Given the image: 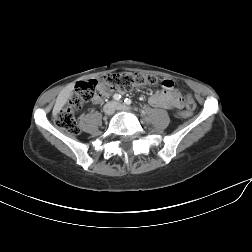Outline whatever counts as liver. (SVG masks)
<instances>
[{
	"label": "liver",
	"instance_id": "obj_1",
	"mask_svg": "<svg viewBox=\"0 0 252 252\" xmlns=\"http://www.w3.org/2000/svg\"><path fill=\"white\" fill-rule=\"evenodd\" d=\"M74 91V84H69L66 86L63 90L60 91V93L57 96L54 108H53V114L56 115L60 112V110L64 107V105L67 103V101L71 98Z\"/></svg>",
	"mask_w": 252,
	"mask_h": 252
}]
</instances>
